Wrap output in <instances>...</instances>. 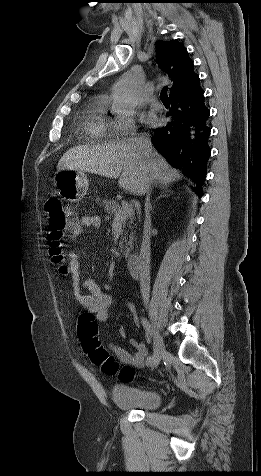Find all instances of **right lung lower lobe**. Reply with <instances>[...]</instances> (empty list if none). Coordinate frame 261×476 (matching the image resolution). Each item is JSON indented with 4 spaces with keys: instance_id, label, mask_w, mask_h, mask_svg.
I'll list each match as a JSON object with an SVG mask.
<instances>
[{
    "instance_id": "obj_1",
    "label": "right lung lower lobe",
    "mask_w": 261,
    "mask_h": 476,
    "mask_svg": "<svg viewBox=\"0 0 261 476\" xmlns=\"http://www.w3.org/2000/svg\"><path fill=\"white\" fill-rule=\"evenodd\" d=\"M170 101L167 113L170 120L155 129L151 141L172 166L182 170L196 184L194 190L201 194L211 149L210 113L199 77L188 88L171 96Z\"/></svg>"
}]
</instances>
